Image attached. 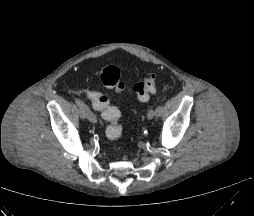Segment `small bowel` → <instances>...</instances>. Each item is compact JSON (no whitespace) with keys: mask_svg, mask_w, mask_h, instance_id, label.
Segmentation results:
<instances>
[{"mask_svg":"<svg viewBox=\"0 0 254 216\" xmlns=\"http://www.w3.org/2000/svg\"><path fill=\"white\" fill-rule=\"evenodd\" d=\"M89 97V96H88ZM90 98V97H89ZM91 100V99H90ZM92 101V100H91ZM92 104H93V107L95 108V106H94V103H93V101H92ZM96 110H98L97 108H95ZM98 111H100V110H98Z\"/></svg>","mask_w":254,"mask_h":216,"instance_id":"small-bowel-1","label":"small bowel"}]
</instances>
